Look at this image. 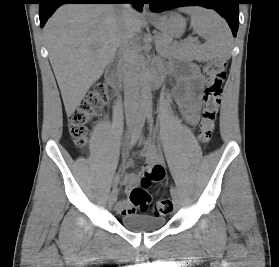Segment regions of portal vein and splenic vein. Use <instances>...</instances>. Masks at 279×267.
Segmentation results:
<instances>
[{"mask_svg":"<svg viewBox=\"0 0 279 267\" xmlns=\"http://www.w3.org/2000/svg\"><path fill=\"white\" fill-rule=\"evenodd\" d=\"M189 41H190V42H191V41H194V39L190 38Z\"/></svg>","mask_w":279,"mask_h":267,"instance_id":"portal-vein-and-splenic-vein-1","label":"portal vein and splenic vein"}]
</instances>
